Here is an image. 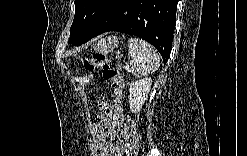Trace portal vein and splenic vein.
I'll list each match as a JSON object with an SVG mask.
<instances>
[{"instance_id":"1","label":"portal vein and splenic vein","mask_w":247,"mask_h":156,"mask_svg":"<svg viewBox=\"0 0 247 156\" xmlns=\"http://www.w3.org/2000/svg\"><path fill=\"white\" fill-rule=\"evenodd\" d=\"M125 69H126V70H129V66H126Z\"/></svg>"}]
</instances>
